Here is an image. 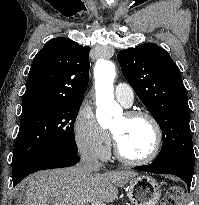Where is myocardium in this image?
Instances as JSON below:
<instances>
[{"label": "myocardium", "instance_id": "f54148a6", "mask_svg": "<svg viewBox=\"0 0 199 205\" xmlns=\"http://www.w3.org/2000/svg\"><path fill=\"white\" fill-rule=\"evenodd\" d=\"M124 115L127 118H144L146 119L154 133V142L151 151L149 152L148 155L141 157V158H131L126 156L119 144L118 141L114 135L113 137V145H114V152L115 156L123 163L129 164V165H144L152 162L160 153V150L162 148L163 144V131L160 123L158 120L148 111L145 110H129L124 113Z\"/></svg>", "mask_w": 199, "mask_h": 205}]
</instances>
